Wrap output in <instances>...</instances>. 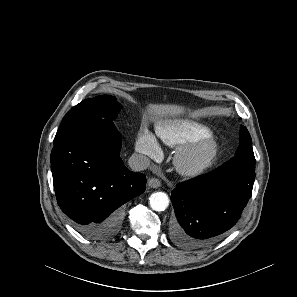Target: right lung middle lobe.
Returning <instances> with one entry per match:
<instances>
[{
	"mask_svg": "<svg viewBox=\"0 0 297 297\" xmlns=\"http://www.w3.org/2000/svg\"><path fill=\"white\" fill-rule=\"evenodd\" d=\"M120 108L121 105L113 96L102 95L86 99L65 115L55 137L94 127H115L112 120Z\"/></svg>",
	"mask_w": 297,
	"mask_h": 297,
	"instance_id": "1",
	"label": "right lung middle lobe"
}]
</instances>
